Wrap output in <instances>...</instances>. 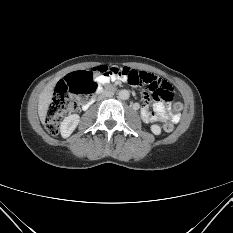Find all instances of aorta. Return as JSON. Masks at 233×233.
<instances>
[{"label":"aorta","mask_w":233,"mask_h":233,"mask_svg":"<svg viewBox=\"0 0 233 233\" xmlns=\"http://www.w3.org/2000/svg\"><path fill=\"white\" fill-rule=\"evenodd\" d=\"M130 97V93L128 90H121L119 92V98L122 99V100H127L128 98Z\"/></svg>","instance_id":"1"}]
</instances>
